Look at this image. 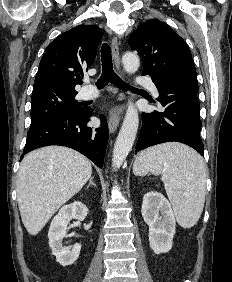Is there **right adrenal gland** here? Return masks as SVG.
<instances>
[{"mask_svg": "<svg viewBox=\"0 0 232 282\" xmlns=\"http://www.w3.org/2000/svg\"><path fill=\"white\" fill-rule=\"evenodd\" d=\"M93 176L90 178V180H89V184H88V186H87V189L91 186V185H93L94 187L96 186L94 183H93Z\"/></svg>", "mask_w": 232, "mask_h": 282, "instance_id": "2a0ac1e0", "label": "right adrenal gland"}]
</instances>
